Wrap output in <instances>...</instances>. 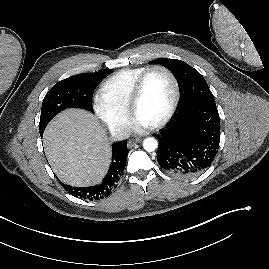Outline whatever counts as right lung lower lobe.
<instances>
[{
    "mask_svg": "<svg viewBox=\"0 0 269 269\" xmlns=\"http://www.w3.org/2000/svg\"><path fill=\"white\" fill-rule=\"evenodd\" d=\"M40 135L42 136L43 133ZM112 150V162L108 173L99 185L90 187H72L70 185L63 184V188L76 197L88 200H98L108 197L112 190L117 187L119 179L125 168L126 155L128 153L127 143L125 141L116 142L113 144Z\"/></svg>",
    "mask_w": 269,
    "mask_h": 269,
    "instance_id": "right-lung-lower-lobe-1",
    "label": "right lung lower lobe"
}]
</instances>
